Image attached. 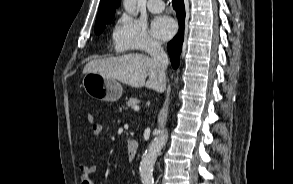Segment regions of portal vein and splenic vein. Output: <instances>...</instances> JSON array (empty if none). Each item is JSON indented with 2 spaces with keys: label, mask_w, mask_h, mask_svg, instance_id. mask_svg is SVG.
Listing matches in <instances>:
<instances>
[{
  "label": "portal vein and splenic vein",
  "mask_w": 293,
  "mask_h": 184,
  "mask_svg": "<svg viewBox=\"0 0 293 184\" xmlns=\"http://www.w3.org/2000/svg\"><path fill=\"white\" fill-rule=\"evenodd\" d=\"M133 109H134L135 111H139L140 108H139V106L136 105V106L133 107Z\"/></svg>",
  "instance_id": "obj_1"
}]
</instances>
